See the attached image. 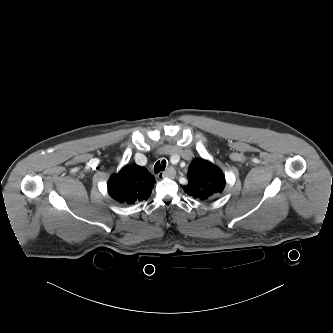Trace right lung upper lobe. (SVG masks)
I'll list each match as a JSON object with an SVG mask.
<instances>
[{
	"instance_id": "1",
	"label": "right lung upper lobe",
	"mask_w": 333,
	"mask_h": 333,
	"mask_svg": "<svg viewBox=\"0 0 333 333\" xmlns=\"http://www.w3.org/2000/svg\"><path fill=\"white\" fill-rule=\"evenodd\" d=\"M155 183L154 176L145 168L126 165L108 181V193L120 203L133 204L147 200Z\"/></svg>"
}]
</instances>
